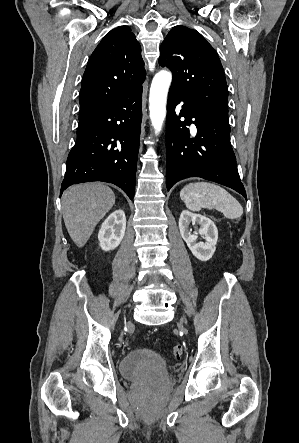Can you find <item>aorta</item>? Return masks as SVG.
Instances as JSON below:
<instances>
[{
	"label": "aorta",
	"instance_id": "aorta-1",
	"mask_svg": "<svg viewBox=\"0 0 299 443\" xmlns=\"http://www.w3.org/2000/svg\"><path fill=\"white\" fill-rule=\"evenodd\" d=\"M172 81V74L162 70L155 74L149 94V112L152 126L158 134L166 117L167 94Z\"/></svg>",
	"mask_w": 299,
	"mask_h": 443
}]
</instances>
